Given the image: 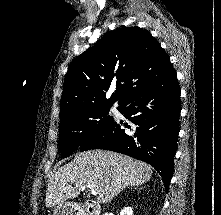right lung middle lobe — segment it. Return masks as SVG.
Listing matches in <instances>:
<instances>
[{"label":"right lung middle lobe","mask_w":221,"mask_h":215,"mask_svg":"<svg viewBox=\"0 0 221 215\" xmlns=\"http://www.w3.org/2000/svg\"><path fill=\"white\" fill-rule=\"evenodd\" d=\"M109 106L84 110L60 121L59 145L61 157H67L91 135L112 123Z\"/></svg>","instance_id":"dd1d6c3e"}]
</instances>
